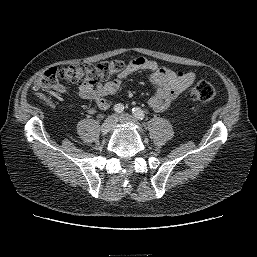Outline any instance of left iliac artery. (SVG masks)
Here are the masks:
<instances>
[{"instance_id": "obj_1", "label": "left iliac artery", "mask_w": 257, "mask_h": 257, "mask_svg": "<svg viewBox=\"0 0 257 257\" xmlns=\"http://www.w3.org/2000/svg\"><path fill=\"white\" fill-rule=\"evenodd\" d=\"M132 113L139 120H143L145 118V114H144L143 110H141L138 107H134L132 109Z\"/></svg>"}]
</instances>
